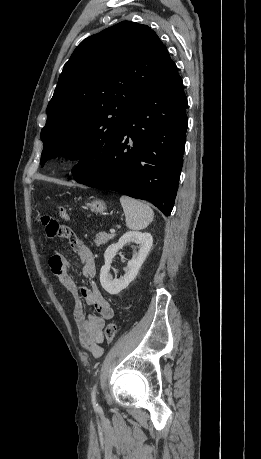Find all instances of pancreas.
Returning a JSON list of instances; mask_svg holds the SVG:
<instances>
[{"instance_id":"1","label":"pancreas","mask_w":261,"mask_h":459,"mask_svg":"<svg viewBox=\"0 0 261 459\" xmlns=\"http://www.w3.org/2000/svg\"><path fill=\"white\" fill-rule=\"evenodd\" d=\"M115 234L113 233H106V232H100L98 234H96V238H95V244L97 246H100V245H103L105 243H107L110 239L114 238Z\"/></svg>"}]
</instances>
